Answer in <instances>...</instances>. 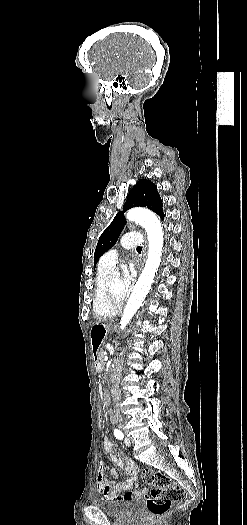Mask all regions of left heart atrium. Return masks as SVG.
Segmentation results:
<instances>
[{
    "mask_svg": "<svg viewBox=\"0 0 247 525\" xmlns=\"http://www.w3.org/2000/svg\"><path fill=\"white\" fill-rule=\"evenodd\" d=\"M130 259L133 262H137V255L133 254L130 256ZM123 277L120 282V285L118 287L117 291V297L119 299H123L131 290L134 280V269H124L122 270Z\"/></svg>",
    "mask_w": 247,
    "mask_h": 525,
    "instance_id": "39dd6f15",
    "label": "left heart atrium"
}]
</instances>
